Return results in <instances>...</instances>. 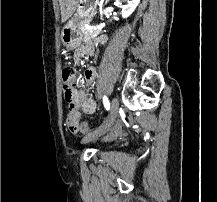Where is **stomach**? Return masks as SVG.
<instances>
[{"instance_id": "obj_1", "label": "stomach", "mask_w": 217, "mask_h": 202, "mask_svg": "<svg viewBox=\"0 0 217 202\" xmlns=\"http://www.w3.org/2000/svg\"><path fill=\"white\" fill-rule=\"evenodd\" d=\"M98 0H79V4L76 8V14H74L71 20H68L61 32V40L65 50H76L81 46L84 36L82 34V22L80 20H88L91 22L96 14Z\"/></svg>"}]
</instances>
